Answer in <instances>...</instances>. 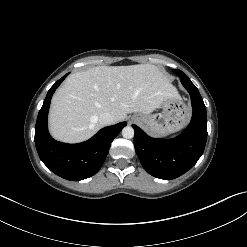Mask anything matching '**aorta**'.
Returning a JSON list of instances; mask_svg holds the SVG:
<instances>
[{"instance_id":"762f6f07","label":"aorta","mask_w":247,"mask_h":247,"mask_svg":"<svg viewBox=\"0 0 247 247\" xmlns=\"http://www.w3.org/2000/svg\"><path fill=\"white\" fill-rule=\"evenodd\" d=\"M122 136L126 139L134 137V129L131 126H126L122 129Z\"/></svg>"}]
</instances>
